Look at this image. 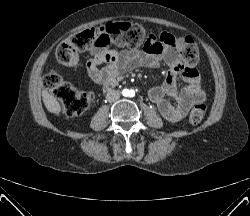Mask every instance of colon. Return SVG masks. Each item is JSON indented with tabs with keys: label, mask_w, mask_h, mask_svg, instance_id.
Wrapping results in <instances>:
<instances>
[{
	"label": "colon",
	"mask_w": 250,
	"mask_h": 216,
	"mask_svg": "<svg viewBox=\"0 0 250 216\" xmlns=\"http://www.w3.org/2000/svg\"><path fill=\"white\" fill-rule=\"evenodd\" d=\"M147 35L149 34L141 24L109 22L71 35L58 46L56 56L61 64L75 66L79 63L80 53L83 51L92 48L103 49L110 45L134 49L143 46V40ZM175 39L182 61L186 66L194 68L199 62V51L195 41L190 36H179ZM44 87L60 102L63 112L70 117L81 115L93 102L92 93L77 90L55 70L46 74ZM205 112V104L195 105L190 111L189 122L192 125L199 124Z\"/></svg>",
	"instance_id": "5ec220e1"
}]
</instances>
